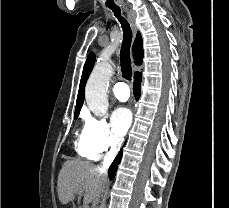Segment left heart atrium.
Listing matches in <instances>:
<instances>
[{"instance_id": "1", "label": "left heart atrium", "mask_w": 229, "mask_h": 208, "mask_svg": "<svg viewBox=\"0 0 229 208\" xmlns=\"http://www.w3.org/2000/svg\"><path fill=\"white\" fill-rule=\"evenodd\" d=\"M112 127L118 137H123L132 123V112L127 107H118L111 116Z\"/></svg>"}]
</instances>
